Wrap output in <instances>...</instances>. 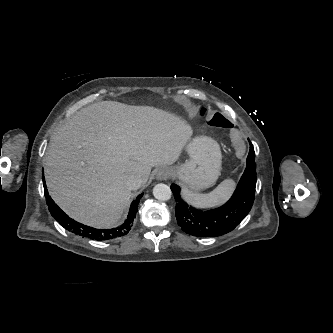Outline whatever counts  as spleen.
<instances>
[{
  "label": "spleen",
  "mask_w": 333,
  "mask_h": 333,
  "mask_svg": "<svg viewBox=\"0 0 333 333\" xmlns=\"http://www.w3.org/2000/svg\"><path fill=\"white\" fill-rule=\"evenodd\" d=\"M235 182L232 179L222 181L213 191L207 194L194 193L186 188L182 190L183 198L194 207L208 208L220 205L232 194Z\"/></svg>",
  "instance_id": "obj_1"
}]
</instances>
